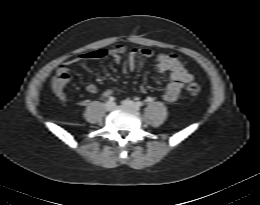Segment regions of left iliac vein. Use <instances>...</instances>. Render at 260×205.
<instances>
[{
    "label": "left iliac vein",
    "instance_id": "4c4485c4",
    "mask_svg": "<svg viewBox=\"0 0 260 205\" xmlns=\"http://www.w3.org/2000/svg\"><path fill=\"white\" fill-rule=\"evenodd\" d=\"M123 104L126 106H130V107L134 108L135 110H138V108H139L138 105L135 102H133L132 100H128V99L124 100Z\"/></svg>",
    "mask_w": 260,
    "mask_h": 205
}]
</instances>
